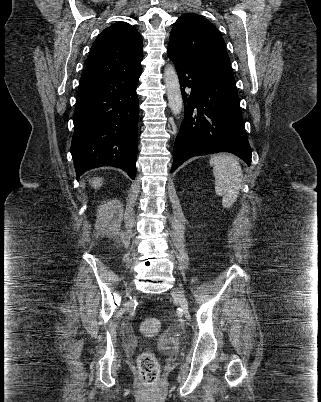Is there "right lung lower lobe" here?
<instances>
[{
	"label": "right lung lower lobe",
	"instance_id": "98d812e1",
	"mask_svg": "<svg viewBox=\"0 0 321 402\" xmlns=\"http://www.w3.org/2000/svg\"><path fill=\"white\" fill-rule=\"evenodd\" d=\"M141 72L101 73L80 79L71 145L77 177L92 168L114 166L135 178L136 88Z\"/></svg>",
	"mask_w": 321,
	"mask_h": 402
}]
</instances>
